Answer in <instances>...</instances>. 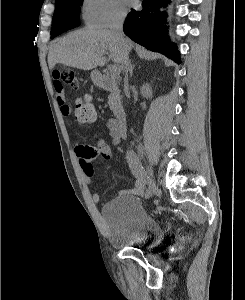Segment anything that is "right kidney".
Here are the masks:
<instances>
[{"label": "right kidney", "mask_w": 245, "mask_h": 300, "mask_svg": "<svg viewBox=\"0 0 245 300\" xmlns=\"http://www.w3.org/2000/svg\"><path fill=\"white\" fill-rule=\"evenodd\" d=\"M141 95L145 98H152V89L149 84H144L141 87Z\"/></svg>", "instance_id": "1"}]
</instances>
